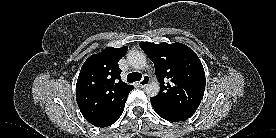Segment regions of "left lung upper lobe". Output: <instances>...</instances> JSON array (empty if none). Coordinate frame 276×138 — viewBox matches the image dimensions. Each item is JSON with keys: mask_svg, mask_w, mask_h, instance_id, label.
I'll use <instances>...</instances> for the list:
<instances>
[{"mask_svg": "<svg viewBox=\"0 0 276 138\" xmlns=\"http://www.w3.org/2000/svg\"><path fill=\"white\" fill-rule=\"evenodd\" d=\"M153 61L160 92L150 98L153 108L177 117H191L205 90V72L196 53L182 43L141 42Z\"/></svg>", "mask_w": 276, "mask_h": 138, "instance_id": "left-lung-upper-lobe-1", "label": "left lung upper lobe"}]
</instances>
